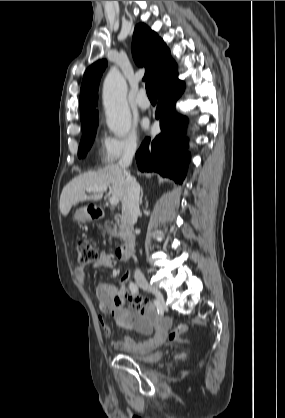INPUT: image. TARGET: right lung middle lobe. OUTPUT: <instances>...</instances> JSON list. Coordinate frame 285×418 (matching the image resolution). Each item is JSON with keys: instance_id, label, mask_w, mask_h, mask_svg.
<instances>
[{"instance_id": "dd1d6c3e", "label": "right lung middle lobe", "mask_w": 285, "mask_h": 418, "mask_svg": "<svg viewBox=\"0 0 285 418\" xmlns=\"http://www.w3.org/2000/svg\"><path fill=\"white\" fill-rule=\"evenodd\" d=\"M98 126V121L82 127V139L78 149L79 158L85 157L87 151L90 149Z\"/></svg>"}]
</instances>
